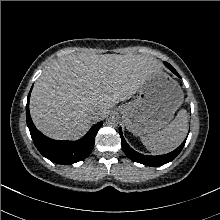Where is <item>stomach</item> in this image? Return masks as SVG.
I'll list each match as a JSON object with an SVG mask.
<instances>
[{
    "label": "stomach",
    "mask_w": 220,
    "mask_h": 220,
    "mask_svg": "<svg viewBox=\"0 0 220 220\" xmlns=\"http://www.w3.org/2000/svg\"><path fill=\"white\" fill-rule=\"evenodd\" d=\"M183 98L177 81L161 69L143 82L139 96L121 105L120 111L127 129L134 135L151 134L170 122Z\"/></svg>",
    "instance_id": "obj_1"
}]
</instances>
